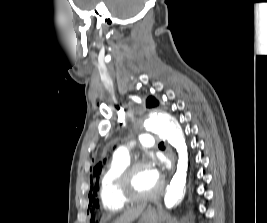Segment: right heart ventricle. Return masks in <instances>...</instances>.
<instances>
[{"mask_svg": "<svg viewBox=\"0 0 267 223\" xmlns=\"http://www.w3.org/2000/svg\"><path fill=\"white\" fill-rule=\"evenodd\" d=\"M129 163V159L114 156L102 176L100 199L108 211H118L126 205L118 193L117 180Z\"/></svg>", "mask_w": 267, "mask_h": 223, "instance_id": "1", "label": "right heart ventricle"}]
</instances>
